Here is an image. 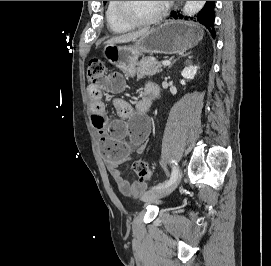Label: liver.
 Here are the masks:
<instances>
[{
    "instance_id": "liver-1",
    "label": "liver",
    "mask_w": 271,
    "mask_h": 266,
    "mask_svg": "<svg viewBox=\"0 0 271 266\" xmlns=\"http://www.w3.org/2000/svg\"><path fill=\"white\" fill-rule=\"evenodd\" d=\"M150 29L143 28L135 32L124 34L121 36L113 37L105 42V44H117V43H127L131 41H136L138 38L146 34Z\"/></svg>"
}]
</instances>
